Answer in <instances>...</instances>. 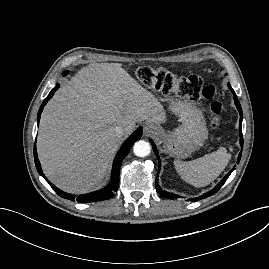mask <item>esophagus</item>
I'll return each instance as SVG.
<instances>
[{
  "instance_id": "1",
  "label": "esophagus",
  "mask_w": 269,
  "mask_h": 269,
  "mask_svg": "<svg viewBox=\"0 0 269 269\" xmlns=\"http://www.w3.org/2000/svg\"><path fill=\"white\" fill-rule=\"evenodd\" d=\"M143 130L145 135H150L155 132L156 128L153 125L146 124L144 125Z\"/></svg>"
}]
</instances>
